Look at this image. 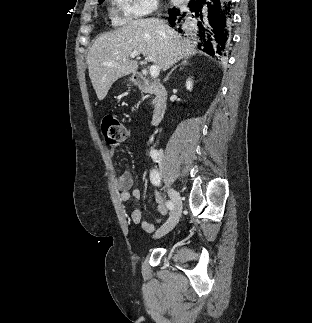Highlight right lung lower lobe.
Instances as JSON below:
<instances>
[{"label": "right lung lower lobe", "instance_id": "98d812e1", "mask_svg": "<svg viewBox=\"0 0 312 323\" xmlns=\"http://www.w3.org/2000/svg\"><path fill=\"white\" fill-rule=\"evenodd\" d=\"M233 5L229 0H191L187 10L173 8L168 21L179 32L192 29L200 50L213 57L225 56L230 42Z\"/></svg>", "mask_w": 312, "mask_h": 323}]
</instances>
